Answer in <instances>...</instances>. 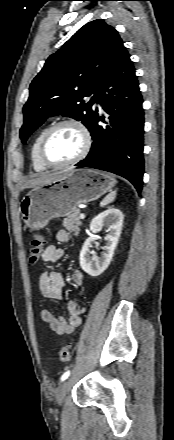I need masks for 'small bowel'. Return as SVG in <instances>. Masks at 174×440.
Returning a JSON list of instances; mask_svg holds the SVG:
<instances>
[{"mask_svg": "<svg viewBox=\"0 0 174 440\" xmlns=\"http://www.w3.org/2000/svg\"><path fill=\"white\" fill-rule=\"evenodd\" d=\"M56 239L59 243H67L69 241V234L61 230L57 233ZM64 256V250L56 245H48L41 254V259L46 263L58 262ZM72 280L77 286L84 284V276L81 271L75 270L72 272ZM39 287L42 295L46 298L61 300L63 298V290L65 281L60 272L45 271L41 274L39 279ZM67 311L69 313V320L66 321L63 317L55 316L48 309H42L40 312L41 319L48 324L50 329L58 335H67L74 332L82 322V314L84 308L76 301L70 300L67 303Z\"/></svg>", "mask_w": 174, "mask_h": 440, "instance_id": "c3829d8e", "label": "small bowel"}]
</instances>
